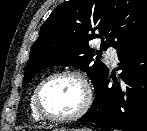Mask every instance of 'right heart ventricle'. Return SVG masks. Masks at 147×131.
<instances>
[{"label":"right heart ventricle","instance_id":"right-heart-ventricle-1","mask_svg":"<svg viewBox=\"0 0 147 131\" xmlns=\"http://www.w3.org/2000/svg\"><path fill=\"white\" fill-rule=\"evenodd\" d=\"M33 95H34V91L30 97V101H29V106H30V114L31 117L34 121H42L43 118L38 114L35 105H34V101H33Z\"/></svg>","mask_w":147,"mask_h":131}]
</instances>
